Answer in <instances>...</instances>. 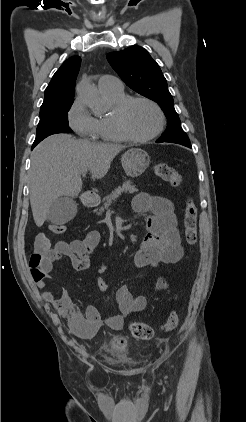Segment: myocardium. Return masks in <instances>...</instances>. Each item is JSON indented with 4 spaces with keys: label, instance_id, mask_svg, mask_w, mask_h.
<instances>
[{
    "label": "myocardium",
    "instance_id": "myocardium-1",
    "mask_svg": "<svg viewBox=\"0 0 246 422\" xmlns=\"http://www.w3.org/2000/svg\"><path fill=\"white\" fill-rule=\"evenodd\" d=\"M145 102L149 105H151L157 112L158 116H159V124L157 129L147 135V136H136L135 134H133L130 129L128 128L126 121H125V113L127 111V109L129 108V106L134 103V102ZM112 119L113 122L116 126V128L118 129V131L122 134V136L131 142H135V143H144V142H148L150 140L155 139L157 136H159L161 134V132L163 131L164 127H165V114L162 110V108L159 106L158 103H156L154 100L147 98L145 96H126L124 99H122L120 102H118L113 109V113H112Z\"/></svg>",
    "mask_w": 246,
    "mask_h": 422
}]
</instances>
